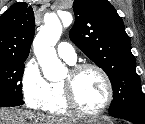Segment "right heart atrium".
Here are the masks:
<instances>
[{
  "label": "right heart atrium",
  "instance_id": "d8ad5b80",
  "mask_svg": "<svg viewBox=\"0 0 145 124\" xmlns=\"http://www.w3.org/2000/svg\"><path fill=\"white\" fill-rule=\"evenodd\" d=\"M21 89L25 101L34 108H39L48 98V82L43 78L34 59L27 61L24 66Z\"/></svg>",
  "mask_w": 145,
  "mask_h": 124
}]
</instances>
